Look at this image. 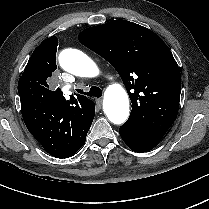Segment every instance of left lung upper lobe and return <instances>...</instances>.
I'll list each match as a JSON object with an SVG mask.
<instances>
[{"mask_svg": "<svg viewBox=\"0 0 209 209\" xmlns=\"http://www.w3.org/2000/svg\"><path fill=\"white\" fill-rule=\"evenodd\" d=\"M78 39L121 76L132 102L126 123L162 138L177 117L181 93L180 70L164 41L126 20L87 28Z\"/></svg>", "mask_w": 209, "mask_h": 209, "instance_id": "1", "label": "left lung upper lobe"}]
</instances>
